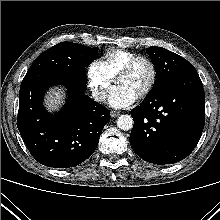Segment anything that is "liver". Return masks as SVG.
Segmentation results:
<instances>
[{
  "label": "liver",
  "mask_w": 220,
  "mask_h": 220,
  "mask_svg": "<svg viewBox=\"0 0 220 220\" xmlns=\"http://www.w3.org/2000/svg\"><path fill=\"white\" fill-rule=\"evenodd\" d=\"M64 98V94L60 88H53L46 96V106L48 110L58 109L62 104Z\"/></svg>",
  "instance_id": "liver-1"
}]
</instances>
